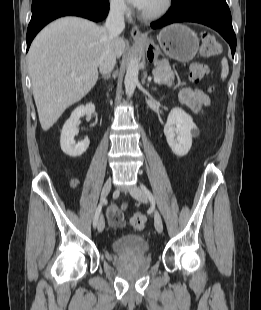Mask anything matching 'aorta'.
<instances>
[{
    "mask_svg": "<svg viewBox=\"0 0 261 310\" xmlns=\"http://www.w3.org/2000/svg\"><path fill=\"white\" fill-rule=\"evenodd\" d=\"M138 74H139V60L138 58H132L128 64L124 85L125 92L128 97L134 94L136 85L138 84Z\"/></svg>",
    "mask_w": 261,
    "mask_h": 310,
    "instance_id": "1",
    "label": "aorta"
}]
</instances>
